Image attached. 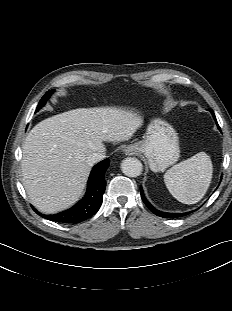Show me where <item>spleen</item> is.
<instances>
[{"instance_id": "3e777b00", "label": "spleen", "mask_w": 232, "mask_h": 311, "mask_svg": "<svg viewBox=\"0 0 232 311\" xmlns=\"http://www.w3.org/2000/svg\"><path fill=\"white\" fill-rule=\"evenodd\" d=\"M213 166L205 152L174 165L164 174V182L174 198L184 204H195L206 194Z\"/></svg>"}]
</instances>
